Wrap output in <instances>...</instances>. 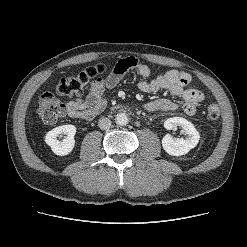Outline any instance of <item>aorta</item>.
<instances>
[{
	"mask_svg": "<svg viewBox=\"0 0 247 247\" xmlns=\"http://www.w3.org/2000/svg\"><path fill=\"white\" fill-rule=\"evenodd\" d=\"M116 124L119 126H125L128 124V116L125 113H119L116 115Z\"/></svg>",
	"mask_w": 247,
	"mask_h": 247,
	"instance_id": "aorta-1",
	"label": "aorta"
}]
</instances>
